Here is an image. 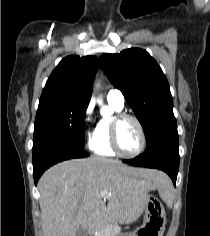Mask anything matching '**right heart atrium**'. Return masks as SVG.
Returning a JSON list of instances; mask_svg holds the SVG:
<instances>
[{"mask_svg":"<svg viewBox=\"0 0 210 236\" xmlns=\"http://www.w3.org/2000/svg\"><path fill=\"white\" fill-rule=\"evenodd\" d=\"M93 111L94 106L92 103H89L83 114V128L86 134H89L90 129L94 124Z\"/></svg>","mask_w":210,"mask_h":236,"instance_id":"d8ad5b80","label":"right heart atrium"}]
</instances>
